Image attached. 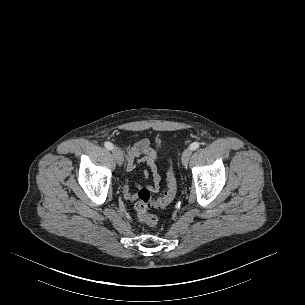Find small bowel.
<instances>
[{
	"label": "small bowel",
	"instance_id": "small-bowel-1",
	"mask_svg": "<svg viewBox=\"0 0 305 305\" xmlns=\"http://www.w3.org/2000/svg\"><path fill=\"white\" fill-rule=\"evenodd\" d=\"M157 157L156 151L151 147V141L147 138L141 139L127 148V170L133 171L138 163L146 162L152 172L153 184L150 189L153 192H157L160 188V175L155 164ZM143 175L146 177L147 173L144 172ZM136 187L140 188L141 185L136 184ZM123 194L129 201L133 202L137 199V194L131 191L129 181L125 183Z\"/></svg>",
	"mask_w": 305,
	"mask_h": 305
}]
</instances>
